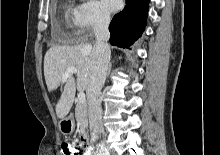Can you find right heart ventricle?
I'll return each mask as SVG.
<instances>
[{"mask_svg":"<svg viewBox=\"0 0 220 155\" xmlns=\"http://www.w3.org/2000/svg\"><path fill=\"white\" fill-rule=\"evenodd\" d=\"M75 17L76 8L73 7L70 3L66 4L63 12V19L68 29H72L73 25L75 24Z\"/></svg>","mask_w":220,"mask_h":155,"instance_id":"right-heart-ventricle-1","label":"right heart ventricle"}]
</instances>
